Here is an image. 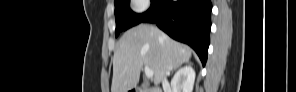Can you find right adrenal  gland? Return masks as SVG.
<instances>
[{"label":"right adrenal gland","mask_w":296,"mask_h":92,"mask_svg":"<svg viewBox=\"0 0 296 92\" xmlns=\"http://www.w3.org/2000/svg\"><path fill=\"white\" fill-rule=\"evenodd\" d=\"M187 64H190L189 62H186ZM174 70H176V68H174Z\"/></svg>","instance_id":"right-adrenal-gland-1"}]
</instances>
